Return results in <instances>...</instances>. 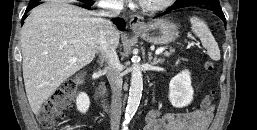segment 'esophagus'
Segmentation results:
<instances>
[{"instance_id":"34e87169","label":"esophagus","mask_w":257,"mask_h":130,"mask_svg":"<svg viewBox=\"0 0 257 130\" xmlns=\"http://www.w3.org/2000/svg\"><path fill=\"white\" fill-rule=\"evenodd\" d=\"M129 24L132 29L142 28L145 24L144 18L140 15H131Z\"/></svg>"}]
</instances>
